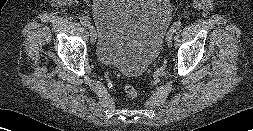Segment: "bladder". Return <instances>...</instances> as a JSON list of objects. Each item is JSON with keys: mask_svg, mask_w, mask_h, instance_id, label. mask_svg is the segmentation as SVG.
I'll return each instance as SVG.
<instances>
[{"mask_svg": "<svg viewBox=\"0 0 253 131\" xmlns=\"http://www.w3.org/2000/svg\"><path fill=\"white\" fill-rule=\"evenodd\" d=\"M92 15L98 60L139 76L162 48L171 7L167 0H97Z\"/></svg>", "mask_w": 253, "mask_h": 131, "instance_id": "1", "label": "bladder"}]
</instances>
